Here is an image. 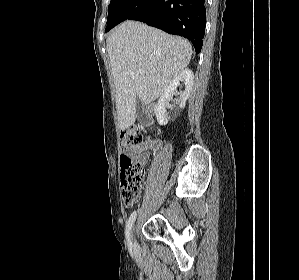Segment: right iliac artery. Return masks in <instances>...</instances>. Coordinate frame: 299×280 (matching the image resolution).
Here are the masks:
<instances>
[{
  "label": "right iliac artery",
  "mask_w": 299,
  "mask_h": 280,
  "mask_svg": "<svg viewBox=\"0 0 299 280\" xmlns=\"http://www.w3.org/2000/svg\"><path fill=\"white\" fill-rule=\"evenodd\" d=\"M135 219H136V211H134L130 215V217H129L128 221H127L126 230H125L126 240H127V243H128V246H129L130 249L132 247V244H131V241H130V230H131V227H132Z\"/></svg>",
  "instance_id": "obj_1"
}]
</instances>
